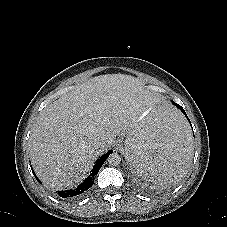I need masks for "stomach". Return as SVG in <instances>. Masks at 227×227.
Instances as JSON below:
<instances>
[{
    "label": "stomach",
    "mask_w": 227,
    "mask_h": 227,
    "mask_svg": "<svg viewBox=\"0 0 227 227\" xmlns=\"http://www.w3.org/2000/svg\"><path fill=\"white\" fill-rule=\"evenodd\" d=\"M149 114H151V109H147L146 111H144L143 113H142V115L139 117V119H138V121H137V123L139 122V121H141V120H143L147 115H149ZM137 123H136V125H137ZM136 127V126H135ZM135 127L132 129V130H135ZM131 130V131H132ZM130 132V131H129ZM127 134V133H126Z\"/></svg>",
    "instance_id": "1"
}]
</instances>
